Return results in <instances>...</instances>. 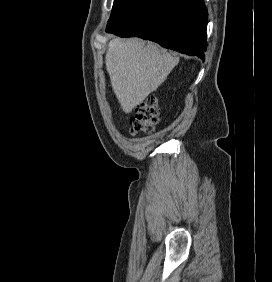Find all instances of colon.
<instances>
[{
    "mask_svg": "<svg viewBox=\"0 0 272 282\" xmlns=\"http://www.w3.org/2000/svg\"><path fill=\"white\" fill-rule=\"evenodd\" d=\"M157 119L158 109L156 100L151 97L136 106L134 116L130 121V131L132 134L140 132L150 134L154 130Z\"/></svg>",
    "mask_w": 272,
    "mask_h": 282,
    "instance_id": "5ec220e1",
    "label": "colon"
}]
</instances>
